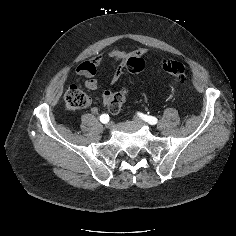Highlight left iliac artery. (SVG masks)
I'll use <instances>...</instances> for the list:
<instances>
[{
	"instance_id": "44dca946",
	"label": "left iliac artery",
	"mask_w": 236,
	"mask_h": 236,
	"mask_svg": "<svg viewBox=\"0 0 236 236\" xmlns=\"http://www.w3.org/2000/svg\"><path fill=\"white\" fill-rule=\"evenodd\" d=\"M138 115H139L143 120H145L146 122H148V123L151 124V125H155V124L158 122L157 118L154 117V116H148V115H144V114H142V113H138Z\"/></svg>"
}]
</instances>
